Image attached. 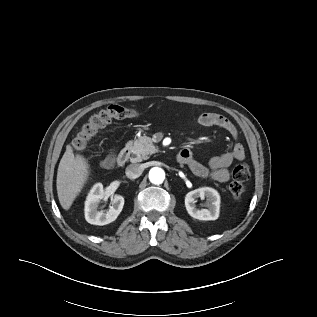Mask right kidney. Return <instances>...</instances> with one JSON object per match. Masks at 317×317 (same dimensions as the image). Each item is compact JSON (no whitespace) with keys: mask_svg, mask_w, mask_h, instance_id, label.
<instances>
[{"mask_svg":"<svg viewBox=\"0 0 317 317\" xmlns=\"http://www.w3.org/2000/svg\"><path fill=\"white\" fill-rule=\"evenodd\" d=\"M109 194L103 189L101 183H96L88 193L85 201V219L88 223L93 225H106L118 217L123 209L124 198L121 195H112V206L109 211H99V203L102 199H107Z\"/></svg>","mask_w":317,"mask_h":317,"instance_id":"right-kidney-1","label":"right kidney"}]
</instances>
